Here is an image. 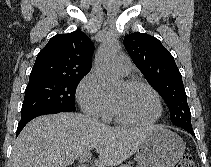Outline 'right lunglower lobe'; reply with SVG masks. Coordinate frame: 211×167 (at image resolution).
I'll use <instances>...</instances> for the list:
<instances>
[{"label":"right lung lower lobe","mask_w":211,"mask_h":167,"mask_svg":"<svg viewBox=\"0 0 211 167\" xmlns=\"http://www.w3.org/2000/svg\"><path fill=\"white\" fill-rule=\"evenodd\" d=\"M60 112H72V111H63V110H49V111H43V112H38L35 114H31L27 117L21 118L19 124H18V128H17V133H16V137L19 135V133L21 132V130L24 128V126L31 121L32 119H34L35 117L41 116V115H45V114H55V113H60Z\"/></svg>","instance_id":"right-lung-lower-lobe-1"}]
</instances>
